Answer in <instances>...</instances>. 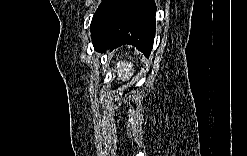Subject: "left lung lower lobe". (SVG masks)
<instances>
[{"label":"left lung lower lobe","instance_id":"0a47b994","mask_svg":"<svg viewBox=\"0 0 247 156\" xmlns=\"http://www.w3.org/2000/svg\"><path fill=\"white\" fill-rule=\"evenodd\" d=\"M155 12L153 0H104L90 26L94 49L103 52L130 44L148 57L155 37Z\"/></svg>","mask_w":247,"mask_h":156}]
</instances>
